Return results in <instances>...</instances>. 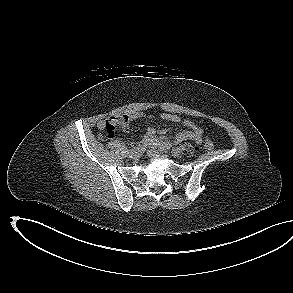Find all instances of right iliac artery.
<instances>
[{"instance_id":"obj_1","label":"right iliac artery","mask_w":293,"mask_h":293,"mask_svg":"<svg viewBox=\"0 0 293 293\" xmlns=\"http://www.w3.org/2000/svg\"><path fill=\"white\" fill-rule=\"evenodd\" d=\"M133 149H136V150L144 149V145L139 144L137 146H132L130 150H133Z\"/></svg>"}]
</instances>
